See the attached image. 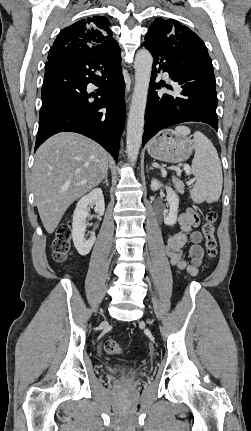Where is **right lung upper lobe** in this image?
<instances>
[{"mask_svg": "<svg viewBox=\"0 0 251 431\" xmlns=\"http://www.w3.org/2000/svg\"><path fill=\"white\" fill-rule=\"evenodd\" d=\"M109 26L106 17L94 16L64 28L50 48L48 58L64 51L81 59L99 60L108 66L114 64L121 60V51Z\"/></svg>", "mask_w": 251, "mask_h": 431, "instance_id": "cb5924a9", "label": "right lung upper lobe"}]
</instances>
